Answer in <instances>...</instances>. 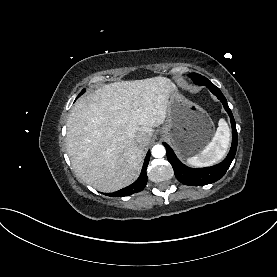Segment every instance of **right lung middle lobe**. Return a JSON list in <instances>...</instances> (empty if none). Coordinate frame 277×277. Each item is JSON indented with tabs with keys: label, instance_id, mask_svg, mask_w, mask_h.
Returning <instances> with one entry per match:
<instances>
[{
	"label": "right lung middle lobe",
	"instance_id": "1",
	"mask_svg": "<svg viewBox=\"0 0 277 277\" xmlns=\"http://www.w3.org/2000/svg\"><path fill=\"white\" fill-rule=\"evenodd\" d=\"M84 92H85V89H83V90L81 91V93L78 95V97L81 96ZM78 97H77V98H78Z\"/></svg>",
	"mask_w": 277,
	"mask_h": 277
}]
</instances>
